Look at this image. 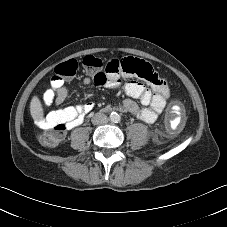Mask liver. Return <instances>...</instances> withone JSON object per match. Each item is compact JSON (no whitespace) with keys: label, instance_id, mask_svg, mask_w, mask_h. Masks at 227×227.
<instances>
[{"label":"liver","instance_id":"1","mask_svg":"<svg viewBox=\"0 0 227 227\" xmlns=\"http://www.w3.org/2000/svg\"><path fill=\"white\" fill-rule=\"evenodd\" d=\"M30 113L34 120H40L43 117V107L37 96H34L30 102Z\"/></svg>","mask_w":227,"mask_h":227}]
</instances>
